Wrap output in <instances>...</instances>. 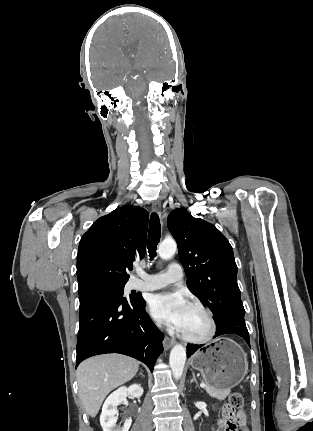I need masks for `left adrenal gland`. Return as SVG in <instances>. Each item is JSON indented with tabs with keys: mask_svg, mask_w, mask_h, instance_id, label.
<instances>
[{
	"mask_svg": "<svg viewBox=\"0 0 313 431\" xmlns=\"http://www.w3.org/2000/svg\"><path fill=\"white\" fill-rule=\"evenodd\" d=\"M192 376H193V378L190 380V383L195 382V383H196V385H198L197 380H196V377H195V373H194V372H192Z\"/></svg>",
	"mask_w": 313,
	"mask_h": 431,
	"instance_id": "obj_1",
	"label": "left adrenal gland"
}]
</instances>
